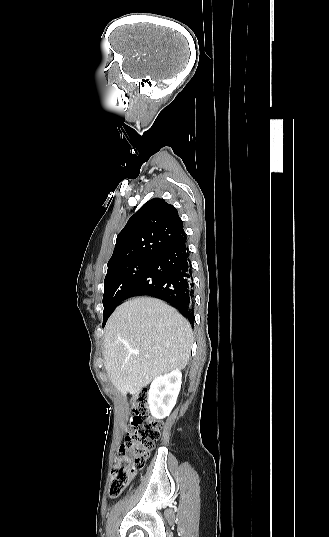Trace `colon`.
I'll use <instances>...</instances> for the list:
<instances>
[{"instance_id": "5ec220e1", "label": "colon", "mask_w": 329, "mask_h": 537, "mask_svg": "<svg viewBox=\"0 0 329 537\" xmlns=\"http://www.w3.org/2000/svg\"><path fill=\"white\" fill-rule=\"evenodd\" d=\"M162 426L160 420L149 414L147 391L131 398L128 429L110 477L109 495L112 498L122 493L135 471L144 465L146 455L160 439Z\"/></svg>"}]
</instances>
